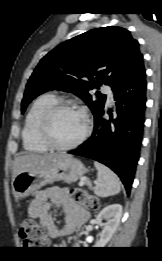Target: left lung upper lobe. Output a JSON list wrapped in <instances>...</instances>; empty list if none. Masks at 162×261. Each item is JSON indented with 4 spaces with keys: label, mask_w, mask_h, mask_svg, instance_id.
Wrapping results in <instances>:
<instances>
[{
    "label": "left lung upper lobe",
    "mask_w": 162,
    "mask_h": 261,
    "mask_svg": "<svg viewBox=\"0 0 162 261\" xmlns=\"http://www.w3.org/2000/svg\"><path fill=\"white\" fill-rule=\"evenodd\" d=\"M142 61L139 43L127 29L108 26L87 31L41 59L26 85L21 113L38 95L57 89L77 95L95 114L106 96L96 92L93 100L91 90L102 83L113 87Z\"/></svg>",
    "instance_id": "5c2ea615"
}]
</instances>
